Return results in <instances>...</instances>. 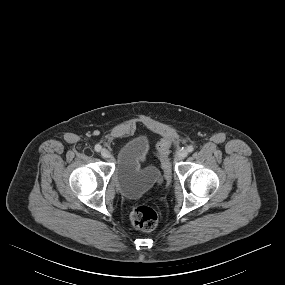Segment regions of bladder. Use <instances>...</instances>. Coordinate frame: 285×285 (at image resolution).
I'll list each match as a JSON object with an SVG mask.
<instances>
[{
	"label": "bladder",
	"instance_id": "1",
	"mask_svg": "<svg viewBox=\"0 0 285 285\" xmlns=\"http://www.w3.org/2000/svg\"><path fill=\"white\" fill-rule=\"evenodd\" d=\"M150 147L148 136L136 134L126 139L118 149L113 180L124 197H138L161 182L162 176L157 167L143 166Z\"/></svg>",
	"mask_w": 285,
	"mask_h": 285
}]
</instances>
